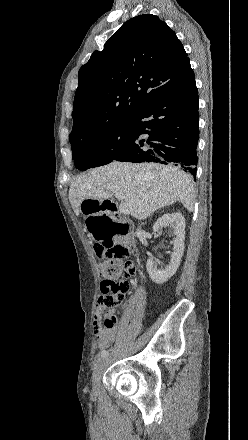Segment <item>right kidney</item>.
<instances>
[{
	"mask_svg": "<svg viewBox=\"0 0 248 440\" xmlns=\"http://www.w3.org/2000/svg\"><path fill=\"white\" fill-rule=\"evenodd\" d=\"M163 228H169L170 233L175 237L173 241V253L169 265L164 268L158 269L156 266V259L150 257L147 260V271L151 280L156 284L165 283L171 278L177 271L181 257L184 252V240H185V219L179 212L167 213L160 217L153 226L154 232H160Z\"/></svg>",
	"mask_w": 248,
	"mask_h": 440,
	"instance_id": "ca27d5eb",
	"label": "right kidney"
}]
</instances>
